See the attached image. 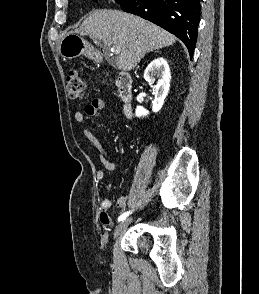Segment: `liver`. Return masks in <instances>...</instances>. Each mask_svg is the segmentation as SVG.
Wrapping results in <instances>:
<instances>
[{
	"instance_id": "6515ba94",
	"label": "liver",
	"mask_w": 259,
	"mask_h": 294,
	"mask_svg": "<svg viewBox=\"0 0 259 294\" xmlns=\"http://www.w3.org/2000/svg\"><path fill=\"white\" fill-rule=\"evenodd\" d=\"M75 32L89 35L96 45L105 49L120 48L116 65L122 71H131L148 52L176 41L171 33L157 25L117 10L92 12Z\"/></svg>"
}]
</instances>
